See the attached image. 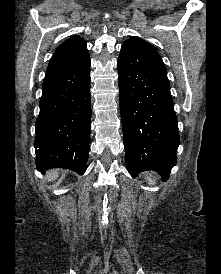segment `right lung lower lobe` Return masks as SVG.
<instances>
[{
	"label": "right lung lower lobe",
	"mask_w": 221,
	"mask_h": 274,
	"mask_svg": "<svg viewBox=\"0 0 221 274\" xmlns=\"http://www.w3.org/2000/svg\"><path fill=\"white\" fill-rule=\"evenodd\" d=\"M90 59L44 79L35 125L36 167L87 169L91 130Z\"/></svg>",
	"instance_id": "1"
}]
</instances>
